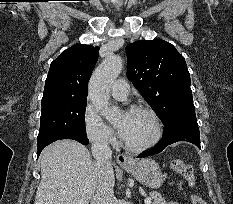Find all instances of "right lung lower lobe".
<instances>
[{"instance_id": "1", "label": "right lung lower lobe", "mask_w": 233, "mask_h": 204, "mask_svg": "<svg viewBox=\"0 0 233 204\" xmlns=\"http://www.w3.org/2000/svg\"><path fill=\"white\" fill-rule=\"evenodd\" d=\"M62 139H73V140H76V141L82 143L83 145H87L89 143V140L87 139V137L70 136V137H66V138H62ZM44 147L45 146L38 148L37 156H39V154L41 153V151L43 150Z\"/></svg>"}]
</instances>
